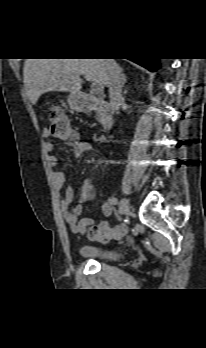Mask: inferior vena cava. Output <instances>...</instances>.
I'll use <instances>...</instances> for the list:
<instances>
[{
    "label": "inferior vena cava",
    "mask_w": 206,
    "mask_h": 348,
    "mask_svg": "<svg viewBox=\"0 0 206 348\" xmlns=\"http://www.w3.org/2000/svg\"><path fill=\"white\" fill-rule=\"evenodd\" d=\"M108 73L109 98L112 109L118 113L123 102L121 68L114 59H105Z\"/></svg>",
    "instance_id": "inferior-vena-cava-1"
}]
</instances>
